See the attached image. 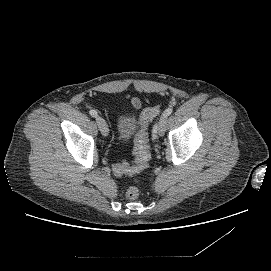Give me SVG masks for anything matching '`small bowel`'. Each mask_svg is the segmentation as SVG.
Segmentation results:
<instances>
[{"mask_svg": "<svg viewBox=\"0 0 271 271\" xmlns=\"http://www.w3.org/2000/svg\"><path fill=\"white\" fill-rule=\"evenodd\" d=\"M132 104L136 107L139 108L140 107V101L136 98L132 99Z\"/></svg>", "mask_w": 271, "mask_h": 271, "instance_id": "small-bowel-1", "label": "small bowel"}]
</instances>
